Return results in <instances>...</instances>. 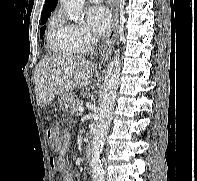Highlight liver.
I'll use <instances>...</instances> for the list:
<instances>
[{"label": "liver", "mask_w": 197, "mask_h": 181, "mask_svg": "<svg viewBox=\"0 0 197 181\" xmlns=\"http://www.w3.org/2000/svg\"><path fill=\"white\" fill-rule=\"evenodd\" d=\"M94 69L92 62L79 56L43 58L34 71L37 104L45 107L64 91L88 86Z\"/></svg>", "instance_id": "1"}]
</instances>
